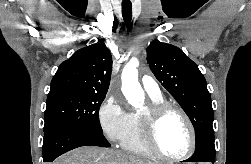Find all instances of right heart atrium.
Instances as JSON below:
<instances>
[{
    "label": "right heart atrium",
    "mask_w": 251,
    "mask_h": 164,
    "mask_svg": "<svg viewBox=\"0 0 251 164\" xmlns=\"http://www.w3.org/2000/svg\"><path fill=\"white\" fill-rule=\"evenodd\" d=\"M98 121L108 141L121 142L129 128L130 113L118 98L109 96L99 108Z\"/></svg>",
    "instance_id": "d8ad5b80"
}]
</instances>
